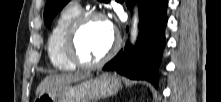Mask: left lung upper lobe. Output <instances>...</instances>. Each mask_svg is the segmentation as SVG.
I'll return each mask as SVG.
<instances>
[{"mask_svg": "<svg viewBox=\"0 0 221 102\" xmlns=\"http://www.w3.org/2000/svg\"><path fill=\"white\" fill-rule=\"evenodd\" d=\"M69 2V0H47L44 10V22L49 28L56 14Z\"/></svg>", "mask_w": 221, "mask_h": 102, "instance_id": "obj_1", "label": "left lung upper lobe"}]
</instances>
